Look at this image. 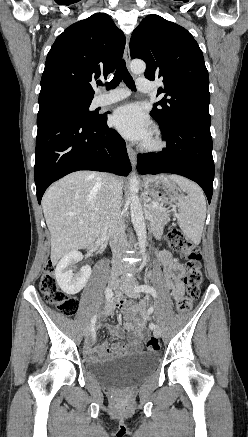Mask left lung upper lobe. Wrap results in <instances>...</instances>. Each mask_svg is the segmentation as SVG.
<instances>
[{"label":"left lung upper lobe","instance_id":"1","mask_svg":"<svg viewBox=\"0 0 248 437\" xmlns=\"http://www.w3.org/2000/svg\"><path fill=\"white\" fill-rule=\"evenodd\" d=\"M130 54L146 62V78L163 82L157 96L165 95L151 112L162 129L171 127L180 116L209 115L208 71L201 49L185 28L159 15H148L132 33Z\"/></svg>","mask_w":248,"mask_h":437}]
</instances>
